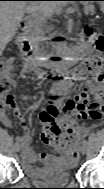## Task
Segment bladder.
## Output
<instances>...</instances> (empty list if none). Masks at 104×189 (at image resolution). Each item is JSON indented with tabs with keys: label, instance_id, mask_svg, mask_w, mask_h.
<instances>
[{
	"label": "bladder",
	"instance_id": "obj_1",
	"mask_svg": "<svg viewBox=\"0 0 104 189\" xmlns=\"http://www.w3.org/2000/svg\"><path fill=\"white\" fill-rule=\"evenodd\" d=\"M25 176L38 185H66L71 181L70 166L54 164L39 167L36 171L22 170Z\"/></svg>",
	"mask_w": 104,
	"mask_h": 189
}]
</instances>
